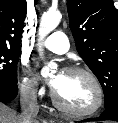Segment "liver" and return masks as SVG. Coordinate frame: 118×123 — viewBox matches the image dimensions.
<instances>
[{
	"label": "liver",
	"instance_id": "1",
	"mask_svg": "<svg viewBox=\"0 0 118 123\" xmlns=\"http://www.w3.org/2000/svg\"><path fill=\"white\" fill-rule=\"evenodd\" d=\"M0 123H20L16 111L0 102ZM35 123H38L37 121Z\"/></svg>",
	"mask_w": 118,
	"mask_h": 123
}]
</instances>
